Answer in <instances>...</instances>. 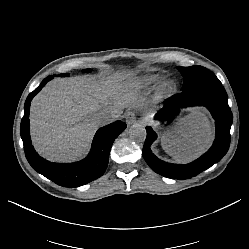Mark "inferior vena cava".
<instances>
[{"mask_svg": "<svg viewBox=\"0 0 249 249\" xmlns=\"http://www.w3.org/2000/svg\"><path fill=\"white\" fill-rule=\"evenodd\" d=\"M113 120H114V117H112V115L102 114L99 117V125L100 126L107 125V124L111 123Z\"/></svg>", "mask_w": 249, "mask_h": 249, "instance_id": "obj_1", "label": "inferior vena cava"}]
</instances>
